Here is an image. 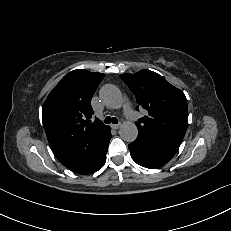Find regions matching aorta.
<instances>
[{"label": "aorta", "mask_w": 231, "mask_h": 231, "mask_svg": "<svg viewBox=\"0 0 231 231\" xmlns=\"http://www.w3.org/2000/svg\"><path fill=\"white\" fill-rule=\"evenodd\" d=\"M100 98L108 108H118L122 104L121 91L112 84H106L100 89ZM120 137L126 142H133L138 135L137 126L132 122H123L119 129Z\"/></svg>", "instance_id": "1"}]
</instances>
